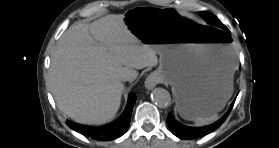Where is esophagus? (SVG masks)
<instances>
[{
    "label": "esophagus",
    "instance_id": "esophagus-1",
    "mask_svg": "<svg viewBox=\"0 0 279 148\" xmlns=\"http://www.w3.org/2000/svg\"><path fill=\"white\" fill-rule=\"evenodd\" d=\"M161 81L157 73H151L145 80V88L148 90L153 89Z\"/></svg>",
    "mask_w": 279,
    "mask_h": 148
}]
</instances>
